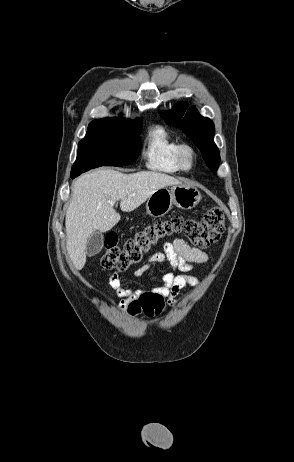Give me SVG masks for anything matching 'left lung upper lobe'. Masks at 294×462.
<instances>
[{
	"label": "left lung upper lobe",
	"instance_id": "5c2ea615",
	"mask_svg": "<svg viewBox=\"0 0 294 462\" xmlns=\"http://www.w3.org/2000/svg\"><path fill=\"white\" fill-rule=\"evenodd\" d=\"M186 103L176 104L172 112H160V116L169 125H176L199 147L206 164L212 171H217L220 164V153L215 145L213 122L202 117L195 107H191L183 118Z\"/></svg>",
	"mask_w": 294,
	"mask_h": 462
}]
</instances>
